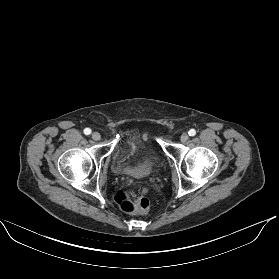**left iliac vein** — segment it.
Here are the masks:
<instances>
[{
	"instance_id": "1",
	"label": "left iliac vein",
	"mask_w": 279,
	"mask_h": 279,
	"mask_svg": "<svg viewBox=\"0 0 279 279\" xmlns=\"http://www.w3.org/2000/svg\"><path fill=\"white\" fill-rule=\"evenodd\" d=\"M189 139V136L187 133H182L181 136H180V140L182 142H186L187 140Z\"/></svg>"
}]
</instances>
